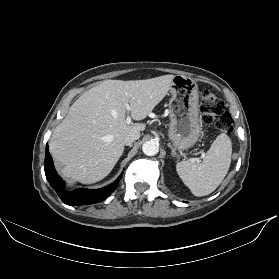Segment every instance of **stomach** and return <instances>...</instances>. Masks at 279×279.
Returning <instances> with one entry per match:
<instances>
[{
	"label": "stomach",
	"instance_id": "stomach-1",
	"mask_svg": "<svg viewBox=\"0 0 279 279\" xmlns=\"http://www.w3.org/2000/svg\"><path fill=\"white\" fill-rule=\"evenodd\" d=\"M168 137L179 150L192 147L200 136L199 90L192 78L176 75L170 87Z\"/></svg>",
	"mask_w": 279,
	"mask_h": 279
}]
</instances>
